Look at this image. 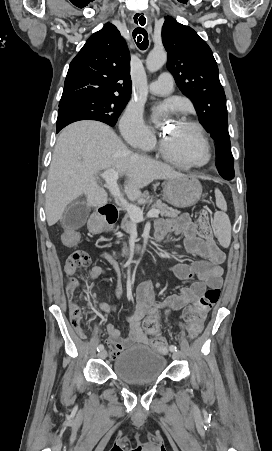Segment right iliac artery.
I'll use <instances>...</instances> for the list:
<instances>
[{"label":"right iliac artery","mask_w":272,"mask_h":451,"mask_svg":"<svg viewBox=\"0 0 272 451\" xmlns=\"http://www.w3.org/2000/svg\"><path fill=\"white\" fill-rule=\"evenodd\" d=\"M103 349H104L103 344H99L98 347H97V351L99 352V351H101Z\"/></svg>","instance_id":"obj_1"}]
</instances>
